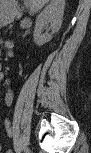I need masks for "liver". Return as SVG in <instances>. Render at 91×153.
<instances>
[{
    "instance_id": "obj_1",
    "label": "liver",
    "mask_w": 91,
    "mask_h": 153,
    "mask_svg": "<svg viewBox=\"0 0 91 153\" xmlns=\"http://www.w3.org/2000/svg\"><path fill=\"white\" fill-rule=\"evenodd\" d=\"M25 2L30 6V11L35 13L39 11L48 0H26Z\"/></svg>"
}]
</instances>
